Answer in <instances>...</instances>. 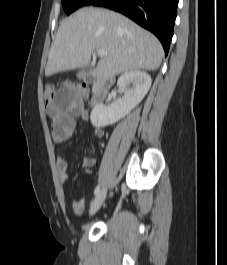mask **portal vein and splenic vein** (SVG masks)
I'll return each instance as SVG.
<instances>
[{
	"label": "portal vein and splenic vein",
	"instance_id": "portal-vein-and-splenic-vein-1",
	"mask_svg": "<svg viewBox=\"0 0 227 265\" xmlns=\"http://www.w3.org/2000/svg\"><path fill=\"white\" fill-rule=\"evenodd\" d=\"M97 54L100 56V57H105L107 55V51L104 50V49H99L97 51Z\"/></svg>",
	"mask_w": 227,
	"mask_h": 265
}]
</instances>
